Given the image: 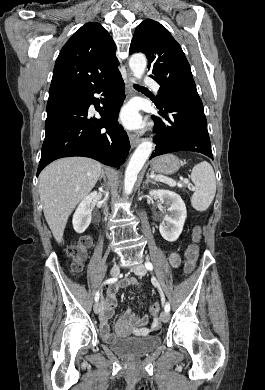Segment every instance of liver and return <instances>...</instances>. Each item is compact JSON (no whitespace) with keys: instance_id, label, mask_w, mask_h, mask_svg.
Segmentation results:
<instances>
[{"instance_id":"obj_1","label":"liver","mask_w":265,"mask_h":390,"mask_svg":"<svg viewBox=\"0 0 265 390\" xmlns=\"http://www.w3.org/2000/svg\"><path fill=\"white\" fill-rule=\"evenodd\" d=\"M102 165L85 157L62 158L40 174L39 194L45 219L58 243L75 206L94 188Z\"/></svg>"}]
</instances>
